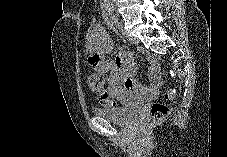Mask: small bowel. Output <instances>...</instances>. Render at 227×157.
<instances>
[{"label":"small bowel","mask_w":227,"mask_h":157,"mask_svg":"<svg viewBox=\"0 0 227 157\" xmlns=\"http://www.w3.org/2000/svg\"><path fill=\"white\" fill-rule=\"evenodd\" d=\"M89 63L95 72L107 75L108 86L102 93H96L101 103L132 102L153 99L158 95L160 74L156 65L149 71L150 85L143 86L134 78L136 65L132 53L122 52L115 58H107L112 52V42L104 29L96 25L86 40Z\"/></svg>","instance_id":"small-bowel-1"}]
</instances>
